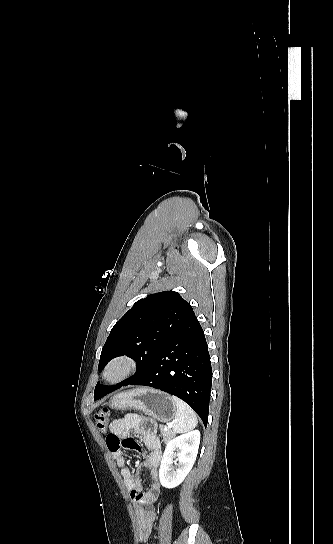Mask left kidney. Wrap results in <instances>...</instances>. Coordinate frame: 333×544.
Wrapping results in <instances>:
<instances>
[{
    "label": "left kidney",
    "instance_id": "obj_1",
    "mask_svg": "<svg viewBox=\"0 0 333 544\" xmlns=\"http://www.w3.org/2000/svg\"><path fill=\"white\" fill-rule=\"evenodd\" d=\"M199 443L198 430L174 437L167 443L159 469V479L163 487L171 489L184 481L196 460ZM177 461L178 468L174 470L172 464Z\"/></svg>",
    "mask_w": 333,
    "mask_h": 544
}]
</instances>
